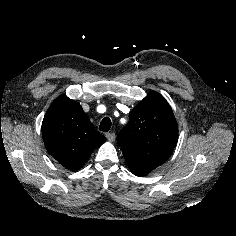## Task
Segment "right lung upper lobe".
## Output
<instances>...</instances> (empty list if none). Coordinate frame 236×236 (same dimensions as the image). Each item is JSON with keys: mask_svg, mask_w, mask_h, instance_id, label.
<instances>
[{"mask_svg": "<svg viewBox=\"0 0 236 236\" xmlns=\"http://www.w3.org/2000/svg\"><path fill=\"white\" fill-rule=\"evenodd\" d=\"M47 151L66 169L77 171L91 153L106 141L78 102L61 95L48 108L42 122Z\"/></svg>", "mask_w": 236, "mask_h": 236, "instance_id": "right-lung-upper-lobe-1", "label": "right lung upper lobe"}]
</instances>
